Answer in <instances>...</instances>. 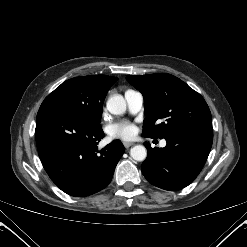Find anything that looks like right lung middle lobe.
I'll return each instance as SVG.
<instances>
[{
    "label": "right lung middle lobe",
    "mask_w": 247,
    "mask_h": 247,
    "mask_svg": "<svg viewBox=\"0 0 247 247\" xmlns=\"http://www.w3.org/2000/svg\"><path fill=\"white\" fill-rule=\"evenodd\" d=\"M106 94L92 76L76 77L58 86L45 98L41 107L54 106L66 109L98 126Z\"/></svg>",
    "instance_id": "dd1d6c3e"
}]
</instances>
